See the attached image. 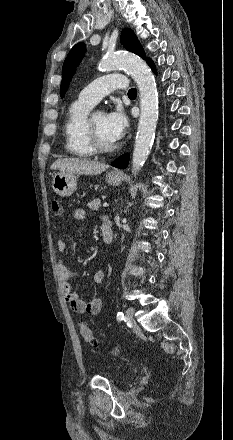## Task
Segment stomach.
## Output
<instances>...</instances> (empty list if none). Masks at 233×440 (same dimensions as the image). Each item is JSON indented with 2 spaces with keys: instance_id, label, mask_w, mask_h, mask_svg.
Wrapping results in <instances>:
<instances>
[{
  "instance_id": "obj_1",
  "label": "stomach",
  "mask_w": 233,
  "mask_h": 440,
  "mask_svg": "<svg viewBox=\"0 0 233 440\" xmlns=\"http://www.w3.org/2000/svg\"><path fill=\"white\" fill-rule=\"evenodd\" d=\"M77 176L71 173L58 172L53 176L52 188L54 192L62 197H68L77 189ZM108 184L118 186L122 182V175L109 172L106 175Z\"/></svg>"
}]
</instances>
